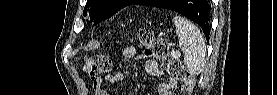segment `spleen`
Segmentation results:
<instances>
[{
	"label": "spleen",
	"instance_id": "1",
	"mask_svg": "<svg viewBox=\"0 0 277 95\" xmlns=\"http://www.w3.org/2000/svg\"><path fill=\"white\" fill-rule=\"evenodd\" d=\"M173 22L186 68L189 73L197 75L203 70L205 62L206 48L203 36L192 22L181 16H175Z\"/></svg>",
	"mask_w": 277,
	"mask_h": 95
}]
</instances>
